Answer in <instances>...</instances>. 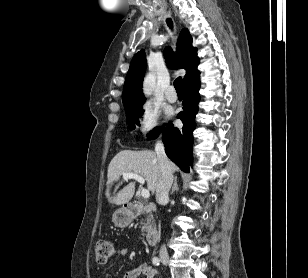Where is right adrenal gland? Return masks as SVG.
<instances>
[{
	"mask_svg": "<svg viewBox=\"0 0 308 278\" xmlns=\"http://www.w3.org/2000/svg\"><path fill=\"white\" fill-rule=\"evenodd\" d=\"M177 190H179V187L177 185V177H175L174 178V184H173V187H172L170 194L172 195L174 193V191H177Z\"/></svg>",
	"mask_w": 308,
	"mask_h": 278,
	"instance_id": "right-adrenal-gland-1",
	"label": "right adrenal gland"
}]
</instances>
